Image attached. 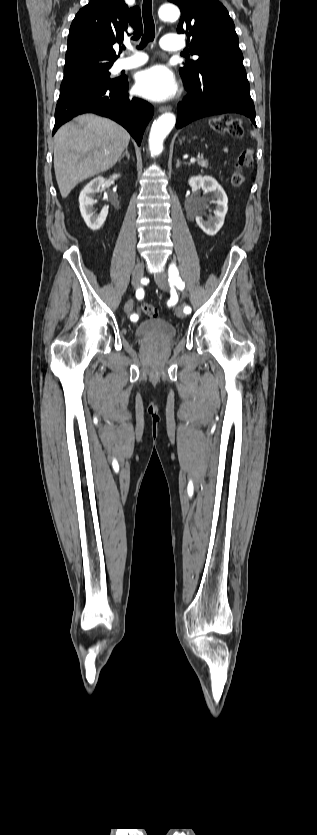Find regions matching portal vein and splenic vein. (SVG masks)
Segmentation results:
<instances>
[{"instance_id": "18ae733b", "label": "portal vein and splenic vein", "mask_w": 317, "mask_h": 835, "mask_svg": "<svg viewBox=\"0 0 317 835\" xmlns=\"http://www.w3.org/2000/svg\"><path fill=\"white\" fill-rule=\"evenodd\" d=\"M194 161H195V158H192V159H191V162H194Z\"/></svg>"}]
</instances>
